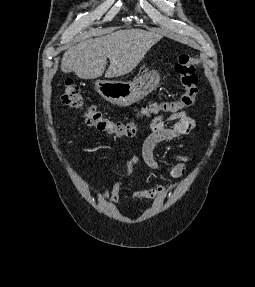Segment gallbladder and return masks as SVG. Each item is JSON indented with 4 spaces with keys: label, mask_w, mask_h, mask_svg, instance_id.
Wrapping results in <instances>:
<instances>
[{
    "label": "gallbladder",
    "mask_w": 255,
    "mask_h": 287,
    "mask_svg": "<svg viewBox=\"0 0 255 287\" xmlns=\"http://www.w3.org/2000/svg\"><path fill=\"white\" fill-rule=\"evenodd\" d=\"M61 70L62 72H66V74L67 72H70L69 68H65V66H62Z\"/></svg>",
    "instance_id": "1"
}]
</instances>
